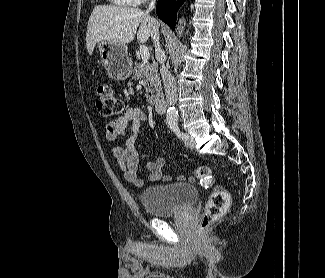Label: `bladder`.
<instances>
[{
	"label": "bladder",
	"instance_id": "31cf9c89",
	"mask_svg": "<svg viewBox=\"0 0 325 278\" xmlns=\"http://www.w3.org/2000/svg\"><path fill=\"white\" fill-rule=\"evenodd\" d=\"M140 202L151 217L178 214L194 205L198 198L197 188L184 182L152 185L144 189Z\"/></svg>",
	"mask_w": 325,
	"mask_h": 278
}]
</instances>
